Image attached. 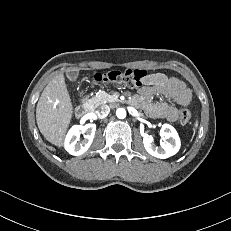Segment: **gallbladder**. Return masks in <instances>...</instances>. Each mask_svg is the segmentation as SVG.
<instances>
[{"instance_id":"bac80fb5","label":"gallbladder","mask_w":231,"mask_h":231,"mask_svg":"<svg viewBox=\"0 0 231 231\" xmlns=\"http://www.w3.org/2000/svg\"><path fill=\"white\" fill-rule=\"evenodd\" d=\"M79 76V71L71 70L67 72V77L70 81H75Z\"/></svg>"}]
</instances>
